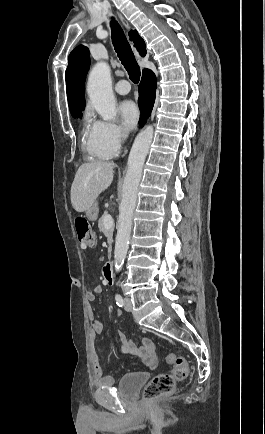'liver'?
<instances>
[{
  "label": "liver",
  "instance_id": "obj_1",
  "mask_svg": "<svg viewBox=\"0 0 265 434\" xmlns=\"http://www.w3.org/2000/svg\"><path fill=\"white\" fill-rule=\"evenodd\" d=\"M112 162L82 164L71 186V204L76 212H86L101 192L107 190L113 180Z\"/></svg>",
  "mask_w": 265,
  "mask_h": 434
}]
</instances>
